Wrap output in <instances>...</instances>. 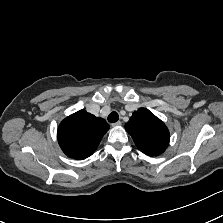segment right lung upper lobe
<instances>
[{
  "label": "right lung upper lobe",
  "instance_id": "cb5924a9",
  "mask_svg": "<svg viewBox=\"0 0 223 223\" xmlns=\"http://www.w3.org/2000/svg\"><path fill=\"white\" fill-rule=\"evenodd\" d=\"M108 130L104 119L80 110L60 123L58 142L68 157L85 159L94 153Z\"/></svg>",
  "mask_w": 223,
  "mask_h": 223
}]
</instances>
